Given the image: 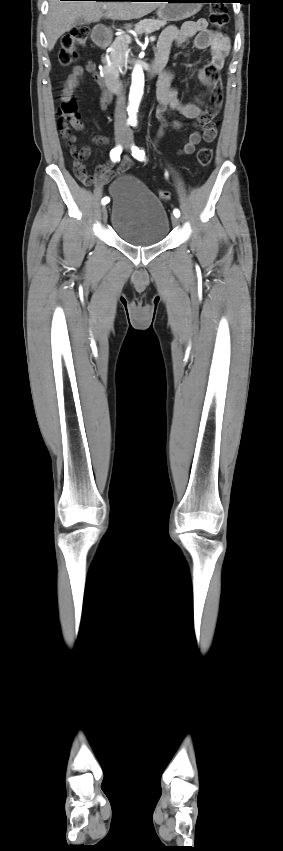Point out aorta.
Here are the masks:
<instances>
[{
	"label": "aorta",
	"mask_w": 283,
	"mask_h": 851,
	"mask_svg": "<svg viewBox=\"0 0 283 851\" xmlns=\"http://www.w3.org/2000/svg\"><path fill=\"white\" fill-rule=\"evenodd\" d=\"M144 89V72L140 65H136L132 72V83L129 93V118L131 121L136 120L139 103L141 101Z\"/></svg>",
	"instance_id": "aorta-1"
}]
</instances>
